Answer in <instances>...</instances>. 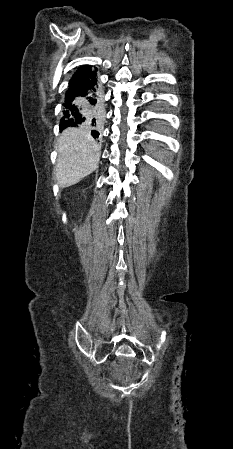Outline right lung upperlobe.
Instances as JSON below:
<instances>
[{"instance_id": "1", "label": "right lung upper lobe", "mask_w": 233, "mask_h": 449, "mask_svg": "<svg viewBox=\"0 0 233 449\" xmlns=\"http://www.w3.org/2000/svg\"><path fill=\"white\" fill-rule=\"evenodd\" d=\"M88 68H89V66H87V65H84V66L80 67V68L77 70V72L74 74L73 77H76V76L79 75L80 73H83V72L86 71ZM73 77H72V78H73Z\"/></svg>"}]
</instances>
